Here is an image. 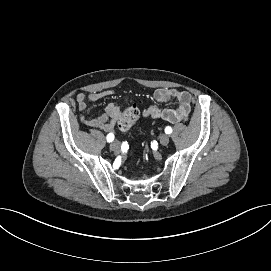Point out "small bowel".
<instances>
[{
    "label": "small bowel",
    "instance_id": "1",
    "mask_svg": "<svg viewBox=\"0 0 271 271\" xmlns=\"http://www.w3.org/2000/svg\"><path fill=\"white\" fill-rule=\"evenodd\" d=\"M113 93V90L91 92L89 94L80 93L76 98L78 107L81 111H86L89 101H96ZM153 97L158 103L174 100L178 103V106L175 109H164L158 105H151L143 111L145 118L152 120L162 119L169 123H178L185 121L191 112L192 96L188 91L175 88H158L154 91ZM120 117V106L115 103H109L104 114L93 118L82 117V121L91 128L112 132Z\"/></svg>",
    "mask_w": 271,
    "mask_h": 271
}]
</instances>
